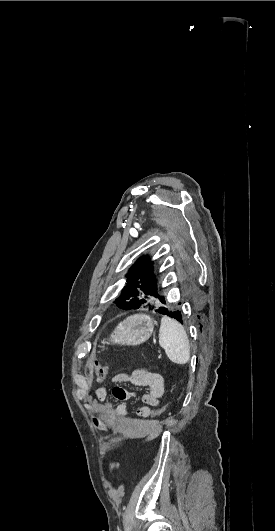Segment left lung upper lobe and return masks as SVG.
Returning <instances> with one entry per match:
<instances>
[{"label": "left lung upper lobe", "mask_w": 275, "mask_h": 531, "mask_svg": "<svg viewBox=\"0 0 275 531\" xmlns=\"http://www.w3.org/2000/svg\"><path fill=\"white\" fill-rule=\"evenodd\" d=\"M150 296L158 297L161 303H165L164 297L158 296L156 291L152 262L147 259V256H144L130 268L127 275V285L121 296L116 299L115 304L126 310L140 307L151 308L153 302Z\"/></svg>", "instance_id": "1"}]
</instances>
